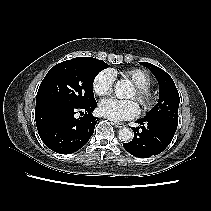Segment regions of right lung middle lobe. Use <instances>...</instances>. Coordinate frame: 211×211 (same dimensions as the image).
I'll use <instances>...</instances> for the list:
<instances>
[{"mask_svg": "<svg viewBox=\"0 0 211 211\" xmlns=\"http://www.w3.org/2000/svg\"><path fill=\"white\" fill-rule=\"evenodd\" d=\"M109 65L92 57H77L49 70L37 92L36 105L86 106L96 102L93 81Z\"/></svg>", "mask_w": 211, "mask_h": 211, "instance_id": "obj_1", "label": "right lung middle lobe"}]
</instances>
